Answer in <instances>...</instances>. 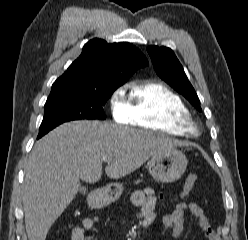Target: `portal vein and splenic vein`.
Here are the masks:
<instances>
[{
	"label": "portal vein and splenic vein",
	"mask_w": 248,
	"mask_h": 240,
	"mask_svg": "<svg viewBox=\"0 0 248 240\" xmlns=\"http://www.w3.org/2000/svg\"><path fill=\"white\" fill-rule=\"evenodd\" d=\"M104 161L107 162V163H110L111 162L110 159H104Z\"/></svg>",
	"instance_id": "obj_1"
}]
</instances>
